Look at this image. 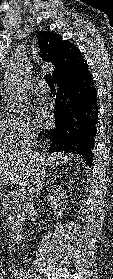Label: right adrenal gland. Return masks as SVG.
<instances>
[{
    "label": "right adrenal gland",
    "instance_id": "obj_1",
    "mask_svg": "<svg viewBox=\"0 0 113 279\" xmlns=\"http://www.w3.org/2000/svg\"><path fill=\"white\" fill-rule=\"evenodd\" d=\"M49 174H46L45 172H38L37 173V185H36V197L39 196L40 194V190L43 187V184L45 183V181L47 180V178L49 177Z\"/></svg>",
    "mask_w": 113,
    "mask_h": 279
}]
</instances>
